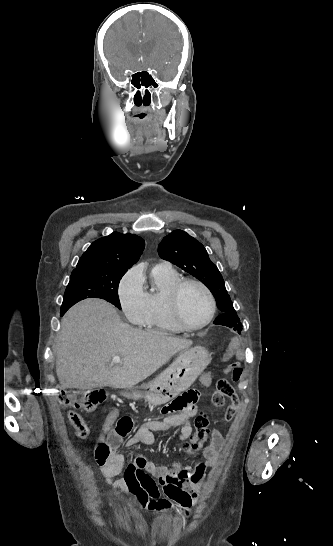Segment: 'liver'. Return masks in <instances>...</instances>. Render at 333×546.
I'll return each mask as SVG.
<instances>
[{"label":"liver","mask_w":333,"mask_h":546,"mask_svg":"<svg viewBox=\"0 0 333 546\" xmlns=\"http://www.w3.org/2000/svg\"><path fill=\"white\" fill-rule=\"evenodd\" d=\"M192 340L147 333L124 323L102 299H85L61 320L56 374L62 389L129 388L145 380ZM113 356L122 357L109 365Z\"/></svg>","instance_id":"1"}]
</instances>
